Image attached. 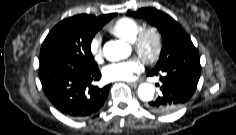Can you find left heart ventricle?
<instances>
[{
	"instance_id": "1",
	"label": "left heart ventricle",
	"mask_w": 236,
	"mask_h": 135,
	"mask_svg": "<svg viewBox=\"0 0 236 135\" xmlns=\"http://www.w3.org/2000/svg\"><path fill=\"white\" fill-rule=\"evenodd\" d=\"M147 49L152 50L153 49V42L150 40L147 44Z\"/></svg>"
}]
</instances>
